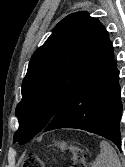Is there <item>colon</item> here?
<instances>
[{
    "instance_id": "5ec220e1",
    "label": "colon",
    "mask_w": 125,
    "mask_h": 167,
    "mask_svg": "<svg viewBox=\"0 0 125 167\" xmlns=\"http://www.w3.org/2000/svg\"><path fill=\"white\" fill-rule=\"evenodd\" d=\"M72 165L70 167H86L85 152L81 148L72 149ZM23 167H46L44 162L35 154H28Z\"/></svg>"
}]
</instances>
